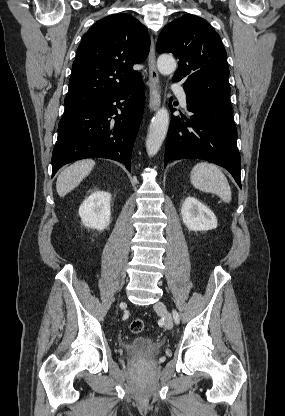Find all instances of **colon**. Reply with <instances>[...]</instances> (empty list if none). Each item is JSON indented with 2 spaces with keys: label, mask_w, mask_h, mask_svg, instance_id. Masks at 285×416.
Returning <instances> with one entry per match:
<instances>
[{
  "label": "colon",
  "mask_w": 285,
  "mask_h": 416,
  "mask_svg": "<svg viewBox=\"0 0 285 416\" xmlns=\"http://www.w3.org/2000/svg\"><path fill=\"white\" fill-rule=\"evenodd\" d=\"M130 330L134 334H139L144 330V322L140 319H135L130 323Z\"/></svg>",
  "instance_id": "5ec220e1"
}]
</instances>
